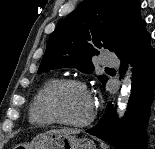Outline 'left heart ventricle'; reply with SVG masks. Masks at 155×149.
Masks as SVG:
<instances>
[{
    "label": "left heart ventricle",
    "instance_id": "b2bd125f",
    "mask_svg": "<svg viewBox=\"0 0 155 149\" xmlns=\"http://www.w3.org/2000/svg\"><path fill=\"white\" fill-rule=\"evenodd\" d=\"M52 100L57 111L70 121L84 120L92 109L90 96L77 86L59 88Z\"/></svg>",
    "mask_w": 155,
    "mask_h": 149
}]
</instances>
